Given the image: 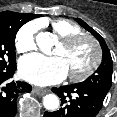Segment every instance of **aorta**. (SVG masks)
Wrapping results in <instances>:
<instances>
[{
	"label": "aorta",
	"mask_w": 117,
	"mask_h": 117,
	"mask_svg": "<svg viewBox=\"0 0 117 117\" xmlns=\"http://www.w3.org/2000/svg\"><path fill=\"white\" fill-rule=\"evenodd\" d=\"M36 42L40 50L48 54L54 44V37L49 32H41L36 36ZM59 98L55 94H47L43 98V105L47 110H56L59 107Z\"/></svg>",
	"instance_id": "1"
}]
</instances>
